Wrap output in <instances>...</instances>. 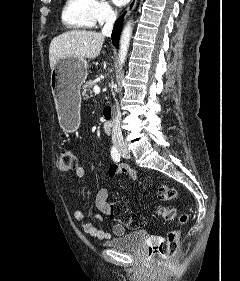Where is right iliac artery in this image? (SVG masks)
<instances>
[{"mask_svg":"<svg viewBox=\"0 0 240 281\" xmlns=\"http://www.w3.org/2000/svg\"><path fill=\"white\" fill-rule=\"evenodd\" d=\"M111 156H112V159L115 162H119L120 161V154H119L118 150L115 147H112V149H111Z\"/></svg>","mask_w":240,"mask_h":281,"instance_id":"82829eb1","label":"right iliac artery"}]
</instances>
